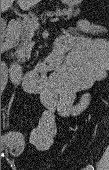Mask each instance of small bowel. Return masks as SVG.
<instances>
[{
  "label": "small bowel",
  "mask_w": 109,
  "mask_h": 170,
  "mask_svg": "<svg viewBox=\"0 0 109 170\" xmlns=\"http://www.w3.org/2000/svg\"><path fill=\"white\" fill-rule=\"evenodd\" d=\"M82 44H87L90 46H94V45H98V42H92L89 40H85V39H81L79 40ZM96 77L95 74L90 73L87 76V82H90L91 80H93ZM45 100L47 102H50L51 100V96L49 94H47L45 96ZM54 128V115L51 112H47L44 116V119L42 121V123L40 124L37 133L35 134L34 138H33V143L35 146L39 147V148H44L46 147L49 142H50V135L53 131Z\"/></svg>",
  "instance_id": "1"
}]
</instances>
